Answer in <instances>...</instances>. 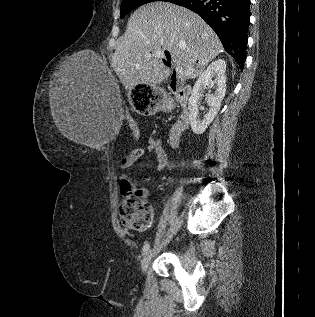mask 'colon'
<instances>
[{"mask_svg":"<svg viewBox=\"0 0 315 317\" xmlns=\"http://www.w3.org/2000/svg\"><path fill=\"white\" fill-rule=\"evenodd\" d=\"M131 130L135 136L140 135V128L137 121L128 117ZM123 201L121 203V218L125 225L137 230H145L152 225L155 213L152 204L146 199L144 191L136 189L129 180L121 184Z\"/></svg>","mask_w":315,"mask_h":317,"instance_id":"1","label":"colon"}]
</instances>
